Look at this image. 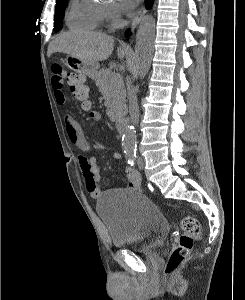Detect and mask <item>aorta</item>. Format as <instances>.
I'll list each match as a JSON object with an SVG mask.
<instances>
[{
	"instance_id": "obj_1",
	"label": "aorta",
	"mask_w": 245,
	"mask_h": 300,
	"mask_svg": "<svg viewBox=\"0 0 245 300\" xmlns=\"http://www.w3.org/2000/svg\"><path fill=\"white\" fill-rule=\"evenodd\" d=\"M155 39V20L151 16L142 18L136 34V66L140 79H143L149 71L153 57ZM136 145V131L129 126L122 138V146L125 150H133Z\"/></svg>"
}]
</instances>
